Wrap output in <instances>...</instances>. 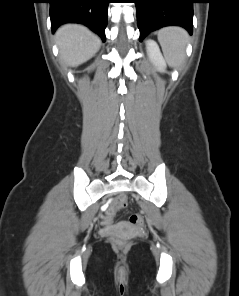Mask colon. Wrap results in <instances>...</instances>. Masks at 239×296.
Here are the masks:
<instances>
[{
  "label": "colon",
  "mask_w": 239,
  "mask_h": 296,
  "mask_svg": "<svg viewBox=\"0 0 239 296\" xmlns=\"http://www.w3.org/2000/svg\"><path fill=\"white\" fill-rule=\"evenodd\" d=\"M126 204H127V197L124 195L118 196L112 201V209L116 211L122 210L126 206ZM129 222L131 225L135 227H139L143 225V218L139 214H131L129 217ZM112 240L117 245L125 244L124 239L118 235L113 236Z\"/></svg>",
  "instance_id": "colon-1"
}]
</instances>
